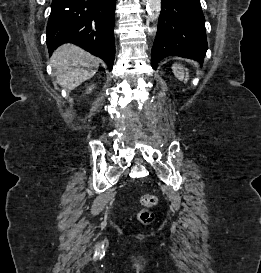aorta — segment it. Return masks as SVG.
<instances>
[{
	"label": "aorta",
	"instance_id": "obj_1",
	"mask_svg": "<svg viewBox=\"0 0 261 273\" xmlns=\"http://www.w3.org/2000/svg\"><path fill=\"white\" fill-rule=\"evenodd\" d=\"M146 9L150 18L156 20L160 14L161 0H147Z\"/></svg>",
	"mask_w": 261,
	"mask_h": 273
}]
</instances>
